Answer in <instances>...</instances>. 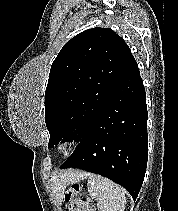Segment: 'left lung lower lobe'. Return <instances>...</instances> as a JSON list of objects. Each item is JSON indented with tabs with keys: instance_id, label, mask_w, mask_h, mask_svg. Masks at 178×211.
Listing matches in <instances>:
<instances>
[{
	"instance_id": "1",
	"label": "left lung lower lobe",
	"mask_w": 178,
	"mask_h": 211,
	"mask_svg": "<svg viewBox=\"0 0 178 211\" xmlns=\"http://www.w3.org/2000/svg\"><path fill=\"white\" fill-rule=\"evenodd\" d=\"M143 81L133 58L111 89L101 115L60 168L100 174L138 196L146 172L148 136Z\"/></svg>"
}]
</instances>
